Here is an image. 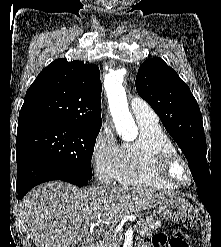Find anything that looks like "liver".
<instances>
[{
    "instance_id": "1",
    "label": "liver",
    "mask_w": 221,
    "mask_h": 247,
    "mask_svg": "<svg viewBox=\"0 0 221 247\" xmlns=\"http://www.w3.org/2000/svg\"><path fill=\"white\" fill-rule=\"evenodd\" d=\"M176 197L142 187L101 186L86 190L52 181L33 188L20 204L22 221L37 247H75L90 226L120 219Z\"/></svg>"
}]
</instances>
